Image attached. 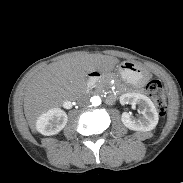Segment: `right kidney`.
<instances>
[{
	"mask_svg": "<svg viewBox=\"0 0 183 183\" xmlns=\"http://www.w3.org/2000/svg\"><path fill=\"white\" fill-rule=\"evenodd\" d=\"M67 120V114L63 110L52 108L43 112L38 117L36 121V129L43 135H54L65 127Z\"/></svg>",
	"mask_w": 183,
	"mask_h": 183,
	"instance_id": "1",
	"label": "right kidney"
}]
</instances>
